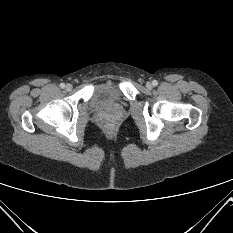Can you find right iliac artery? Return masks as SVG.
I'll return each instance as SVG.
<instances>
[{
	"label": "right iliac artery",
	"mask_w": 233,
	"mask_h": 233,
	"mask_svg": "<svg viewBox=\"0 0 233 233\" xmlns=\"http://www.w3.org/2000/svg\"><path fill=\"white\" fill-rule=\"evenodd\" d=\"M60 88H62V89L65 88V84H64V83H61V84H60Z\"/></svg>",
	"instance_id": "1"
}]
</instances>
